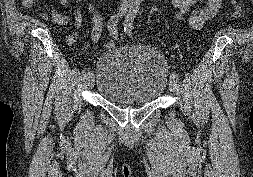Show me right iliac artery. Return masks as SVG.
I'll return each mask as SVG.
<instances>
[{"instance_id": "82829eb1", "label": "right iliac artery", "mask_w": 253, "mask_h": 177, "mask_svg": "<svg viewBox=\"0 0 253 177\" xmlns=\"http://www.w3.org/2000/svg\"><path fill=\"white\" fill-rule=\"evenodd\" d=\"M120 16H121L120 13L114 14V15L111 16V18L108 21L107 27H108L109 33L113 37H117L118 36L117 25H118V21H119ZM91 76H93V72L92 71H88L86 73V77L89 78Z\"/></svg>"}]
</instances>
